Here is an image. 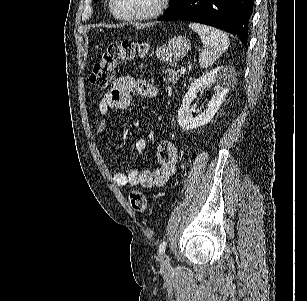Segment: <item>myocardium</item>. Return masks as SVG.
<instances>
[{
    "label": "myocardium",
    "mask_w": 307,
    "mask_h": 301,
    "mask_svg": "<svg viewBox=\"0 0 307 301\" xmlns=\"http://www.w3.org/2000/svg\"><path fill=\"white\" fill-rule=\"evenodd\" d=\"M167 2V0H158L154 11H124V13H116L118 8L117 1L111 0V7H108V12L110 15H115L116 22H148L149 18L160 16Z\"/></svg>",
    "instance_id": "f54148a6"
}]
</instances>
